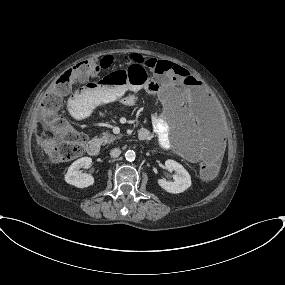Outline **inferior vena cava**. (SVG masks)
Instances as JSON below:
<instances>
[{"label":"inferior vena cava","mask_w":285,"mask_h":285,"mask_svg":"<svg viewBox=\"0 0 285 285\" xmlns=\"http://www.w3.org/2000/svg\"><path fill=\"white\" fill-rule=\"evenodd\" d=\"M120 154H121V150L119 148H114L110 151V155L113 158L120 156Z\"/></svg>","instance_id":"obj_1"}]
</instances>
